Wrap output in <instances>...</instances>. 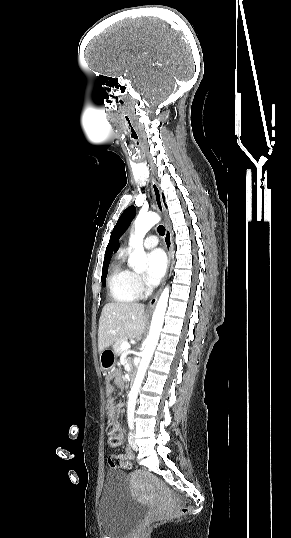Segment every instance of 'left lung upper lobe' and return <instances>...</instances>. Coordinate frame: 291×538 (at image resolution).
<instances>
[{"mask_svg":"<svg viewBox=\"0 0 291 538\" xmlns=\"http://www.w3.org/2000/svg\"><path fill=\"white\" fill-rule=\"evenodd\" d=\"M163 200H165L164 195H163ZM135 212H136L135 207L130 206L122 213V215L120 216L119 220L117 221V224L115 225L111 233L112 236H114L115 240H116V237H120L124 233V231L127 229L131 220L135 216Z\"/></svg>","mask_w":291,"mask_h":538,"instance_id":"obj_1","label":"left lung upper lobe"}]
</instances>
